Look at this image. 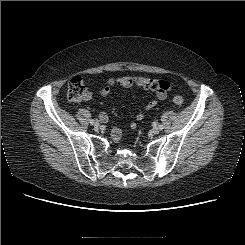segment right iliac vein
<instances>
[{
	"mask_svg": "<svg viewBox=\"0 0 245 245\" xmlns=\"http://www.w3.org/2000/svg\"><path fill=\"white\" fill-rule=\"evenodd\" d=\"M94 127H95V128H99V122H95V123H94Z\"/></svg>",
	"mask_w": 245,
	"mask_h": 245,
	"instance_id": "obj_1",
	"label": "right iliac vein"
}]
</instances>
